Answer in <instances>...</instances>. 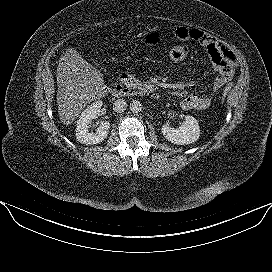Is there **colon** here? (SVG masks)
Wrapping results in <instances>:
<instances>
[{"label": "colon", "mask_w": 272, "mask_h": 272, "mask_svg": "<svg viewBox=\"0 0 272 272\" xmlns=\"http://www.w3.org/2000/svg\"><path fill=\"white\" fill-rule=\"evenodd\" d=\"M166 56L173 62H183L189 57V50L183 45H172L166 50ZM233 84H228L222 91L220 101L222 102L232 90Z\"/></svg>", "instance_id": "5ec220e1"}]
</instances>
